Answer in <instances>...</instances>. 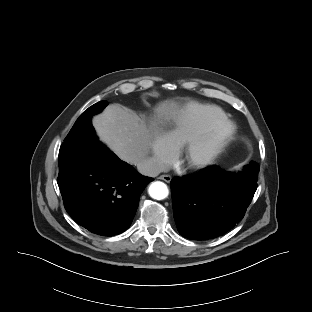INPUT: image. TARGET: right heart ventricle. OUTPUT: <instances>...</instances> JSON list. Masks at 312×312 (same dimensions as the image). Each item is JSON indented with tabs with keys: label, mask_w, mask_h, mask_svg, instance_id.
I'll return each mask as SVG.
<instances>
[{
	"label": "right heart ventricle",
	"mask_w": 312,
	"mask_h": 312,
	"mask_svg": "<svg viewBox=\"0 0 312 312\" xmlns=\"http://www.w3.org/2000/svg\"><path fill=\"white\" fill-rule=\"evenodd\" d=\"M226 118V113L216 105L190 103L167 119L164 133L175 147H179Z\"/></svg>",
	"instance_id": "1"
}]
</instances>
